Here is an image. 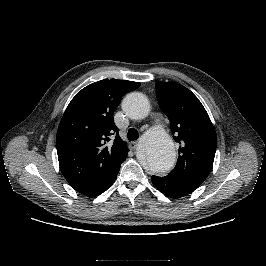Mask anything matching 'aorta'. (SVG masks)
I'll list each match as a JSON object with an SVG mask.
<instances>
[{
  "mask_svg": "<svg viewBox=\"0 0 266 266\" xmlns=\"http://www.w3.org/2000/svg\"><path fill=\"white\" fill-rule=\"evenodd\" d=\"M122 108L130 118L143 119L149 114L150 104L142 93H131L124 98ZM175 161L174 143L168 132L162 127L147 132L140 162L151 172L163 174L173 168Z\"/></svg>",
  "mask_w": 266,
  "mask_h": 266,
  "instance_id": "1",
  "label": "aorta"
}]
</instances>
